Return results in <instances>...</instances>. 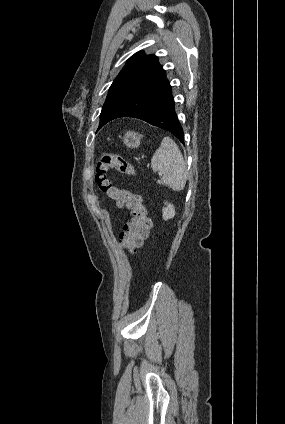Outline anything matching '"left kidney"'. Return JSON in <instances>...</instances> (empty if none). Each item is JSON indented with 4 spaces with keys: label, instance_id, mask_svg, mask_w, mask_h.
<instances>
[{
    "label": "left kidney",
    "instance_id": "obj_1",
    "mask_svg": "<svg viewBox=\"0 0 285 424\" xmlns=\"http://www.w3.org/2000/svg\"><path fill=\"white\" fill-rule=\"evenodd\" d=\"M166 207L162 209V217L165 221L175 216V207L168 202H165Z\"/></svg>",
    "mask_w": 285,
    "mask_h": 424
}]
</instances>
